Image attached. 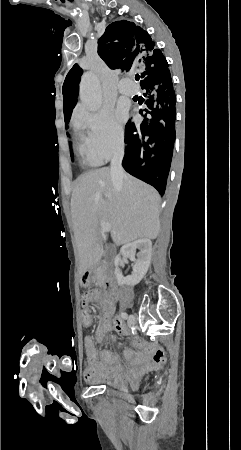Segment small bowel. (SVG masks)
Wrapping results in <instances>:
<instances>
[{"instance_id": "1", "label": "small bowel", "mask_w": 241, "mask_h": 450, "mask_svg": "<svg viewBox=\"0 0 241 450\" xmlns=\"http://www.w3.org/2000/svg\"><path fill=\"white\" fill-rule=\"evenodd\" d=\"M87 287L88 285H82ZM111 286L101 283L99 287L90 289L82 296L84 311H90L93 304H96L104 314V320L97 329L95 336H87L85 338V352L87 367L85 371V380L90 383H98L101 381L115 382L121 378L128 381L132 387H136L142 374L148 369L147 357L152 359V368L159 369L166 361L165 352L160 348H154L147 353L136 356L130 349L125 350V362L120 361L109 351H104L102 359H98L96 343L101 341L110 328H113L118 334L126 335L127 330L121 319L112 317L113 304L116 299L110 297L105 292ZM91 325H84L90 327ZM131 345L143 350H150L137 339L131 341Z\"/></svg>"}]
</instances>
